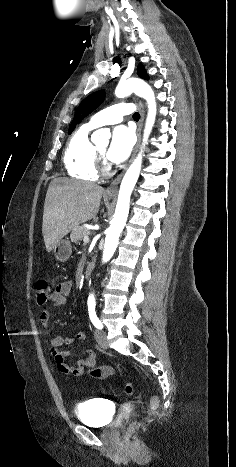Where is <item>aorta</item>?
Here are the masks:
<instances>
[{
    "mask_svg": "<svg viewBox=\"0 0 236 467\" xmlns=\"http://www.w3.org/2000/svg\"><path fill=\"white\" fill-rule=\"evenodd\" d=\"M131 93H135L136 95L146 100L148 105V113L140 152L126 171L120 185L115 214L112 219L111 225L106 232L105 245L102 255L103 263L109 261L113 256L118 245L120 234L126 224L130 208L131 193L134 189V186L139 178V174L141 171L143 148L147 144L149 135L151 133L156 118V100L154 92L150 85H148L145 81L141 79L130 78L125 81H120L115 89V95L118 98L126 97ZM103 134V130H98L93 134V136L95 138H98ZM92 300H94V295L90 294L88 297V301Z\"/></svg>",
    "mask_w": 236,
    "mask_h": 467,
    "instance_id": "762f6f07",
    "label": "aorta"
}]
</instances>
